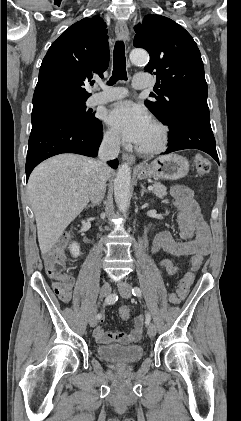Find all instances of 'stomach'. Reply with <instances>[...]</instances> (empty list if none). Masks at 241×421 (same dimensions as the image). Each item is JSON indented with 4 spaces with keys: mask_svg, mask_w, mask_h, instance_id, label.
Listing matches in <instances>:
<instances>
[{
    "mask_svg": "<svg viewBox=\"0 0 241 421\" xmlns=\"http://www.w3.org/2000/svg\"><path fill=\"white\" fill-rule=\"evenodd\" d=\"M189 171V162L177 154H169L156 158L150 163L140 164L135 174L140 180L147 178L176 180L184 177Z\"/></svg>",
    "mask_w": 241,
    "mask_h": 421,
    "instance_id": "1",
    "label": "stomach"
}]
</instances>
